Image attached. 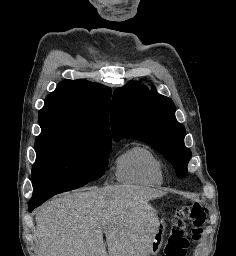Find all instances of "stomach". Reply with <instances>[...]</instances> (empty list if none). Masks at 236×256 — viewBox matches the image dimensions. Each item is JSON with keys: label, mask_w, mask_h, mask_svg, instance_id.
Returning a JSON list of instances; mask_svg holds the SVG:
<instances>
[{"label": "stomach", "mask_w": 236, "mask_h": 256, "mask_svg": "<svg viewBox=\"0 0 236 256\" xmlns=\"http://www.w3.org/2000/svg\"><path fill=\"white\" fill-rule=\"evenodd\" d=\"M164 230H165V227H164V224L161 222L160 223V226L158 227L157 229V232L155 234V241L153 246H152V253L155 255L158 251H159V248H160V243H161V240L163 238V234H164Z\"/></svg>", "instance_id": "1"}]
</instances>
